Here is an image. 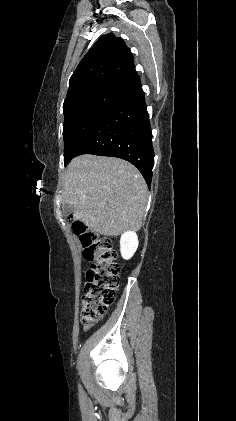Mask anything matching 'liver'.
<instances>
[{
  "label": "liver",
  "instance_id": "obj_1",
  "mask_svg": "<svg viewBox=\"0 0 236 421\" xmlns=\"http://www.w3.org/2000/svg\"><path fill=\"white\" fill-rule=\"evenodd\" d=\"M62 194L63 202L73 206L74 221L92 233L117 237L142 225L147 184L138 168L122 158L75 156L66 168Z\"/></svg>",
  "mask_w": 236,
  "mask_h": 421
}]
</instances>
